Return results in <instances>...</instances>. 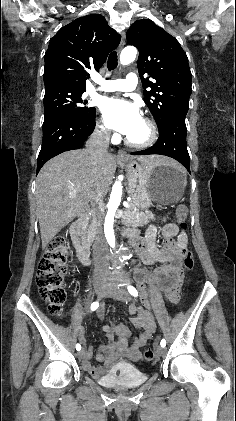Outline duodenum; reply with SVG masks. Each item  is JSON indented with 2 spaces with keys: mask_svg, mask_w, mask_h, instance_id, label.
Segmentation results:
<instances>
[{
  "mask_svg": "<svg viewBox=\"0 0 236 421\" xmlns=\"http://www.w3.org/2000/svg\"><path fill=\"white\" fill-rule=\"evenodd\" d=\"M88 218V211L83 209L79 212L76 219L70 226V235L73 241L76 252L79 259L84 265L90 263V246L87 237L84 232V227ZM126 237L130 243L139 252L142 260L146 264H162L164 266L154 271V277L158 282V287L168 298L169 301L175 302L178 299V289L182 281L181 275V257L177 249V246L173 243H169L166 247L160 251L156 247L150 246L144 239L138 235L136 229L126 231ZM148 276L149 273L145 269L137 270V278L140 283V291L145 302L150 305V297L148 291ZM136 325L144 329L140 339L135 342L134 346L137 347L146 338L145 321L140 317L136 319ZM119 340L103 347L106 355L99 353L97 359L103 362L107 367L116 358L126 352V343L122 337L126 336V333L120 331L117 333ZM91 358V352L88 351L84 357L83 365L84 368L93 376H101L106 367H93L89 359Z\"/></svg>",
  "mask_w": 236,
  "mask_h": 421,
  "instance_id": "1",
  "label": "duodenum"
}]
</instances>
